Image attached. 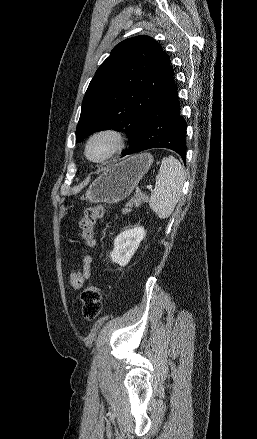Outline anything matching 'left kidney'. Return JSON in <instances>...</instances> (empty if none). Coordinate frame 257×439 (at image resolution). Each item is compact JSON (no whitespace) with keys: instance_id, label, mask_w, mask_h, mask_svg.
Here are the masks:
<instances>
[{"instance_id":"5707ae66","label":"left kidney","mask_w":257,"mask_h":439,"mask_svg":"<svg viewBox=\"0 0 257 439\" xmlns=\"http://www.w3.org/2000/svg\"><path fill=\"white\" fill-rule=\"evenodd\" d=\"M145 236L146 231L143 227L128 229L117 235L114 239L113 251L110 253L112 261L120 266H126Z\"/></svg>"}]
</instances>
